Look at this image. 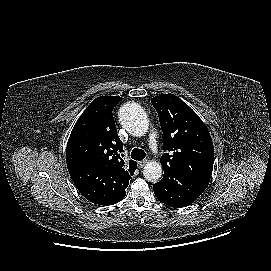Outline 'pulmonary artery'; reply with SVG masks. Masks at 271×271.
<instances>
[{"label":"pulmonary artery","instance_id":"1","mask_svg":"<svg viewBox=\"0 0 271 271\" xmlns=\"http://www.w3.org/2000/svg\"><path fill=\"white\" fill-rule=\"evenodd\" d=\"M149 145L153 153H156L158 151L157 136L155 133H151L149 135Z\"/></svg>","mask_w":271,"mask_h":271}]
</instances>
